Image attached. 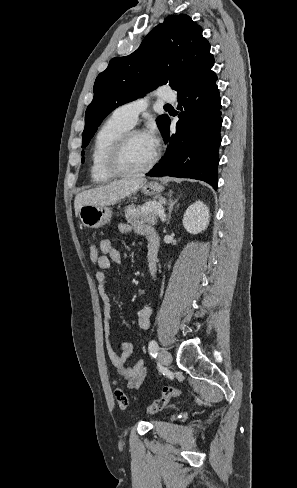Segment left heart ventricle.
<instances>
[{
    "mask_svg": "<svg viewBox=\"0 0 297 488\" xmlns=\"http://www.w3.org/2000/svg\"><path fill=\"white\" fill-rule=\"evenodd\" d=\"M154 153L155 149L147 141L144 134L135 135L124 150L122 165L131 170L142 168L149 163Z\"/></svg>",
    "mask_w": 297,
    "mask_h": 488,
    "instance_id": "left-heart-ventricle-1",
    "label": "left heart ventricle"
}]
</instances>
